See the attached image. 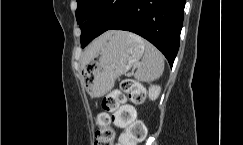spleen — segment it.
Wrapping results in <instances>:
<instances>
[{
	"instance_id": "spleen-1",
	"label": "spleen",
	"mask_w": 243,
	"mask_h": 145,
	"mask_svg": "<svg viewBox=\"0 0 243 145\" xmlns=\"http://www.w3.org/2000/svg\"><path fill=\"white\" fill-rule=\"evenodd\" d=\"M144 46V55L138 64L134 78L137 81L152 82L158 79L164 71V59L160 51L151 43L141 39Z\"/></svg>"
}]
</instances>
